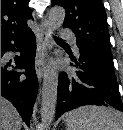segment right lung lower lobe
Returning <instances> with one entry per match:
<instances>
[{
    "instance_id": "1",
    "label": "right lung lower lobe",
    "mask_w": 123,
    "mask_h": 130,
    "mask_svg": "<svg viewBox=\"0 0 123 130\" xmlns=\"http://www.w3.org/2000/svg\"><path fill=\"white\" fill-rule=\"evenodd\" d=\"M7 51L20 52L21 55L15 58V64L16 68L24 69V73L8 68L11 61L5 59ZM35 55V36L31 29L22 35L1 39V96L16 107L28 126L38 90Z\"/></svg>"
}]
</instances>
